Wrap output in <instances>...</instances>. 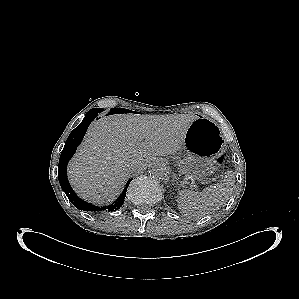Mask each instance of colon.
<instances>
[{
	"label": "colon",
	"instance_id": "obj_1",
	"mask_svg": "<svg viewBox=\"0 0 299 299\" xmlns=\"http://www.w3.org/2000/svg\"><path fill=\"white\" fill-rule=\"evenodd\" d=\"M223 161H224V160H223V158H222V157H220V158H218V159H217V163H218V164H222V163H223Z\"/></svg>",
	"mask_w": 299,
	"mask_h": 299
}]
</instances>
